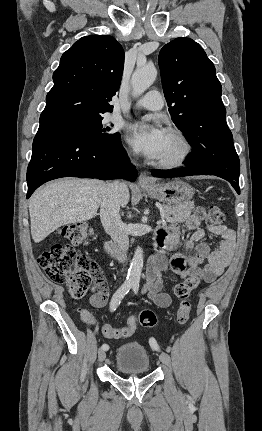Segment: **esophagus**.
Segmentation results:
<instances>
[{"label":"esophagus","mask_w":262,"mask_h":431,"mask_svg":"<svg viewBox=\"0 0 262 431\" xmlns=\"http://www.w3.org/2000/svg\"><path fill=\"white\" fill-rule=\"evenodd\" d=\"M138 184L140 186H149L152 185V181L145 173H141L138 178Z\"/></svg>","instance_id":"1"}]
</instances>
